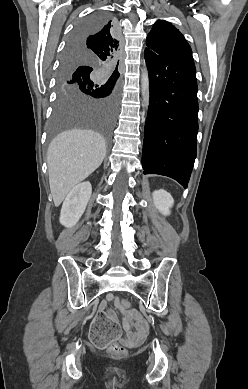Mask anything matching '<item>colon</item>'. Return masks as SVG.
<instances>
[{
  "mask_svg": "<svg viewBox=\"0 0 248 389\" xmlns=\"http://www.w3.org/2000/svg\"><path fill=\"white\" fill-rule=\"evenodd\" d=\"M123 309H129L131 303L127 300L119 301ZM94 322L90 324V337L92 339V347L97 350H108V353L113 357H121L125 354V349L118 343H110L112 337H122L123 331L118 330V322L116 319L109 318L105 311H94ZM108 344V347H107Z\"/></svg>",
  "mask_w": 248,
  "mask_h": 389,
  "instance_id": "obj_1",
  "label": "colon"
}]
</instances>
